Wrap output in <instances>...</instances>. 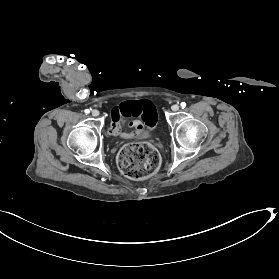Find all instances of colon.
Instances as JSON below:
<instances>
[{
    "label": "colon",
    "mask_w": 279,
    "mask_h": 279,
    "mask_svg": "<svg viewBox=\"0 0 279 279\" xmlns=\"http://www.w3.org/2000/svg\"><path fill=\"white\" fill-rule=\"evenodd\" d=\"M160 165L158 152L149 143L124 146L118 155L121 172L131 179H142L155 173Z\"/></svg>",
    "instance_id": "1"
}]
</instances>
